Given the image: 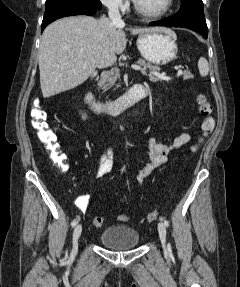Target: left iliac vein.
Returning a JSON list of instances; mask_svg holds the SVG:
<instances>
[{
  "instance_id": "4c4485c4",
  "label": "left iliac vein",
  "mask_w": 240,
  "mask_h": 287,
  "mask_svg": "<svg viewBox=\"0 0 240 287\" xmlns=\"http://www.w3.org/2000/svg\"><path fill=\"white\" fill-rule=\"evenodd\" d=\"M158 232L164 250H166V228L162 222L158 223Z\"/></svg>"
}]
</instances>
